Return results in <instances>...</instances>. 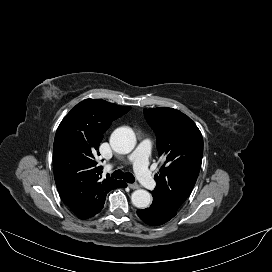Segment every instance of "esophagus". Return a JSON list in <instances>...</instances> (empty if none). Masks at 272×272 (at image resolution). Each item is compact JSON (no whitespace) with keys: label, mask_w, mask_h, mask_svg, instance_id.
<instances>
[{"label":"esophagus","mask_w":272,"mask_h":272,"mask_svg":"<svg viewBox=\"0 0 272 272\" xmlns=\"http://www.w3.org/2000/svg\"><path fill=\"white\" fill-rule=\"evenodd\" d=\"M128 186H129L131 189H138V188L140 187L137 183H130V184H128Z\"/></svg>","instance_id":"1"}]
</instances>
